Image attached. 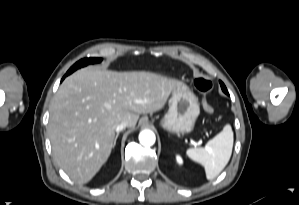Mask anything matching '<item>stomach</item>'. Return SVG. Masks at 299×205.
<instances>
[{"label": "stomach", "mask_w": 299, "mask_h": 205, "mask_svg": "<svg viewBox=\"0 0 299 205\" xmlns=\"http://www.w3.org/2000/svg\"><path fill=\"white\" fill-rule=\"evenodd\" d=\"M199 113L197 97L185 84L179 83L172 91L168 112L160 125L170 133H189Z\"/></svg>", "instance_id": "obj_1"}]
</instances>
